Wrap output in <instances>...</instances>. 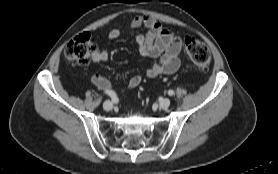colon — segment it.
Listing matches in <instances>:
<instances>
[{
    "label": "colon",
    "instance_id": "5ec220e1",
    "mask_svg": "<svg viewBox=\"0 0 278 174\" xmlns=\"http://www.w3.org/2000/svg\"><path fill=\"white\" fill-rule=\"evenodd\" d=\"M184 48L194 66L200 70L208 68L211 62V55L201 41L186 37L184 39ZM96 51V45L91 40L88 33H81L75 36L66 46V57L79 66H87L92 54Z\"/></svg>",
    "mask_w": 278,
    "mask_h": 174
}]
</instances>
